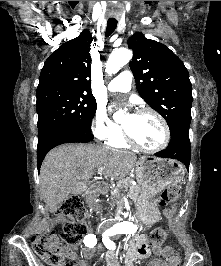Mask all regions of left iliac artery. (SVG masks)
<instances>
[{"instance_id":"left-iliac-artery-1","label":"left iliac artery","mask_w":221,"mask_h":266,"mask_svg":"<svg viewBox=\"0 0 221 266\" xmlns=\"http://www.w3.org/2000/svg\"><path fill=\"white\" fill-rule=\"evenodd\" d=\"M115 235L114 232H105L104 235H103V243L105 244V246L108 248V249H112L114 250L115 249V243L109 239V236H113Z\"/></svg>"}]
</instances>
